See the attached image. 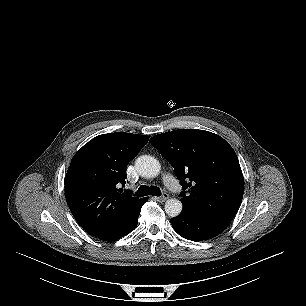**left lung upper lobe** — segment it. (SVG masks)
Instances as JSON below:
<instances>
[{
  "mask_svg": "<svg viewBox=\"0 0 306 306\" xmlns=\"http://www.w3.org/2000/svg\"><path fill=\"white\" fill-rule=\"evenodd\" d=\"M150 141L175 169L183 186V209L234 218L244 181L237 155L222 137L204 130L178 129Z\"/></svg>",
  "mask_w": 306,
  "mask_h": 306,
  "instance_id": "obj_1",
  "label": "left lung upper lobe"
}]
</instances>
